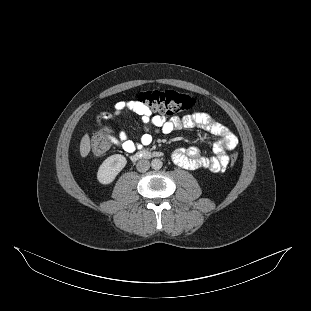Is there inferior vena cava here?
Masks as SVG:
<instances>
[{
	"mask_svg": "<svg viewBox=\"0 0 311 311\" xmlns=\"http://www.w3.org/2000/svg\"><path fill=\"white\" fill-rule=\"evenodd\" d=\"M150 168V162L147 159H141L137 162V170L146 172Z\"/></svg>",
	"mask_w": 311,
	"mask_h": 311,
	"instance_id": "obj_1",
	"label": "inferior vena cava"
}]
</instances>
